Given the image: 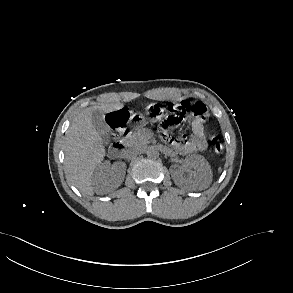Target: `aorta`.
Here are the masks:
<instances>
[{"label":"aorta","instance_id":"obj_1","mask_svg":"<svg viewBox=\"0 0 293 293\" xmlns=\"http://www.w3.org/2000/svg\"><path fill=\"white\" fill-rule=\"evenodd\" d=\"M146 155L149 159H156L159 156V152L157 149L152 147L147 150Z\"/></svg>","mask_w":293,"mask_h":293}]
</instances>
